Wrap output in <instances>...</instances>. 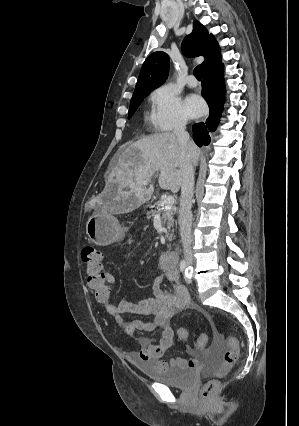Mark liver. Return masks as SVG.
I'll list each match as a JSON object with an SVG mask.
<instances>
[{"instance_id": "obj_1", "label": "liver", "mask_w": 299, "mask_h": 426, "mask_svg": "<svg viewBox=\"0 0 299 426\" xmlns=\"http://www.w3.org/2000/svg\"><path fill=\"white\" fill-rule=\"evenodd\" d=\"M188 152L196 166L200 149L190 141ZM181 156L182 148L173 133L154 134L126 145L108 177L101 205L113 212L134 210L151 198L154 185L143 182H151L158 172L159 186L177 193L182 180Z\"/></svg>"}]
</instances>
